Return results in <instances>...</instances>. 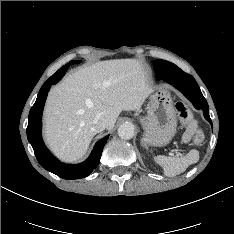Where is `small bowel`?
Returning <instances> with one entry per match:
<instances>
[{
	"label": "small bowel",
	"instance_id": "c3829d8e",
	"mask_svg": "<svg viewBox=\"0 0 234 234\" xmlns=\"http://www.w3.org/2000/svg\"><path fill=\"white\" fill-rule=\"evenodd\" d=\"M191 134H192L191 131L188 130V131L185 133V139H186V140L189 139V137H190Z\"/></svg>",
	"mask_w": 234,
	"mask_h": 234
}]
</instances>
